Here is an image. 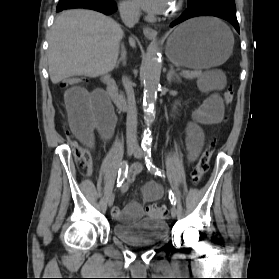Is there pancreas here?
I'll list each match as a JSON object with an SVG mask.
<instances>
[{"instance_id": "obj_1", "label": "pancreas", "mask_w": 279, "mask_h": 279, "mask_svg": "<svg viewBox=\"0 0 279 279\" xmlns=\"http://www.w3.org/2000/svg\"><path fill=\"white\" fill-rule=\"evenodd\" d=\"M199 75H201V73L199 74ZM199 75H193V76H191V77H185V76H183V77H185V78H187V79H194V78H196V77H198Z\"/></svg>"}]
</instances>
